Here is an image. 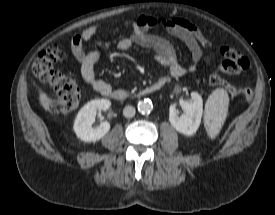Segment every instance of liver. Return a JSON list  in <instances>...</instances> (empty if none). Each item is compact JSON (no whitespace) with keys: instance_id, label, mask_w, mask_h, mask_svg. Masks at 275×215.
Listing matches in <instances>:
<instances>
[{"instance_id":"liver-1","label":"liver","mask_w":275,"mask_h":215,"mask_svg":"<svg viewBox=\"0 0 275 215\" xmlns=\"http://www.w3.org/2000/svg\"><path fill=\"white\" fill-rule=\"evenodd\" d=\"M38 94H39V100L40 104L46 111H50V107L52 105V99L48 97V95L41 90V88L36 87Z\"/></svg>"}]
</instances>
